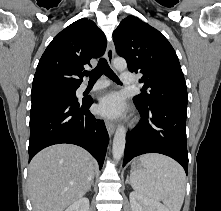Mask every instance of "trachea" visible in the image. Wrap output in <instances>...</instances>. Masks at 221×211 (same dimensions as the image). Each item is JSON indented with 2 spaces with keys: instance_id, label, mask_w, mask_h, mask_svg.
I'll return each mask as SVG.
<instances>
[{
  "instance_id": "obj_1",
  "label": "trachea",
  "mask_w": 221,
  "mask_h": 211,
  "mask_svg": "<svg viewBox=\"0 0 221 211\" xmlns=\"http://www.w3.org/2000/svg\"><path fill=\"white\" fill-rule=\"evenodd\" d=\"M102 74L106 75L114 82L121 84L118 76L111 70L106 59L104 58H101L99 60V63L95 69L85 73L86 76L90 77L89 82H96L101 77Z\"/></svg>"
}]
</instances>
